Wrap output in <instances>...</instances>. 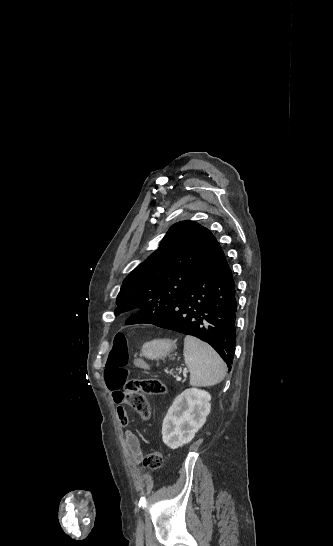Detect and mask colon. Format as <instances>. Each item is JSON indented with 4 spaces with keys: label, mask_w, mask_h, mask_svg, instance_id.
<instances>
[{
    "label": "colon",
    "mask_w": 333,
    "mask_h": 546,
    "mask_svg": "<svg viewBox=\"0 0 333 546\" xmlns=\"http://www.w3.org/2000/svg\"><path fill=\"white\" fill-rule=\"evenodd\" d=\"M128 363V340L123 333H118L106 362V385L112 391L121 390L123 402L148 419L150 411L143 393L163 395L167 388L164 383L155 379H128ZM163 463V453L158 449L150 451L144 459V465L148 469H159Z\"/></svg>",
    "instance_id": "1"
}]
</instances>
